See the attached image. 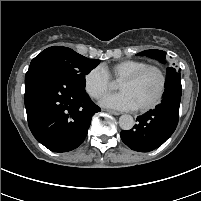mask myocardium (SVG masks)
Returning a JSON list of instances; mask_svg holds the SVG:
<instances>
[{"mask_svg":"<svg viewBox=\"0 0 201 201\" xmlns=\"http://www.w3.org/2000/svg\"><path fill=\"white\" fill-rule=\"evenodd\" d=\"M150 70L156 71L158 73L159 78H160V87H159L157 95L155 96V98L152 101H150L147 104L137 107V109L140 111H147L149 109L154 108L163 98L164 93L166 91V87H167V76H166L165 71L163 70L162 67H160L158 65L149 64V65H146L145 67L125 76L124 78H122L120 80V82H127V83L134 82L137 79H139L144 73H146L147 71H150Z\"/></svg>","mask_w":201,"mask_h":201,"instance_id":"myocardium-1","label":"myocardium"}]
</instances>
